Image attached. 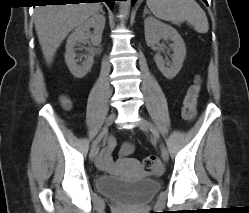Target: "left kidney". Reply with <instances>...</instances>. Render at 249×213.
Segmentation results:
<instances>
[{
	"instance_id": "1",
	"label": "left kidney",
	"mask_w": 249,
	"mask_h": 213,
	"mask_svg": "<svg viewBox=\"0 0 249 213\" xmlns=\"http://www.w3.org/2000/svg\"><path fill=\"white\" fill-rule=\"evenodd\" d=\"M144 28L145 40L150 47L158 44L161 39H169L173 42L170 45L174 52L170 67H166V62L160 54L154 56L156 65L163 76L167 79H173L181 70L186 56V47L182 37L175 28L151 16L145 19Z\"/></svg>"
}]
</instances>
